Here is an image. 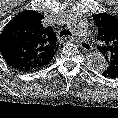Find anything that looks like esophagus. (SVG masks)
I'll use <instances>...</instances> for the list:
<instances>
[{
    "mask_svg": "<svg viewBox=\"0 0 118 118\" xmlns=\"http://www.w3.org/2000/svg\"><path fill=\"white\" fill-rule=\"evenodd\" d=\"M65 39L73 40L71 37H66ZM77 43H79V46L84 50V51H90L92 50V46L89 42H86L84 40H80L79 38L75 39Z\"/></svg>",
    "mask_w": 118,
    "mask_h": 118,
    "instance_id": "esophagus-1",
    "label": "esophagus"
}]
</instances>
